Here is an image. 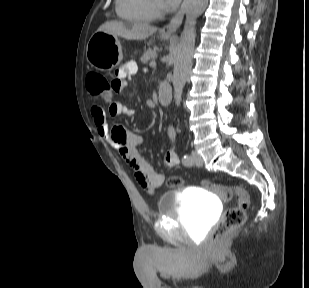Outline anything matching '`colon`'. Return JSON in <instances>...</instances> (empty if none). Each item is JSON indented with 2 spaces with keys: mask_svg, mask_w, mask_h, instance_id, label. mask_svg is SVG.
<instances>
[{
  "mask_svg": "<svg viewBox=\"0 0 309 288\" xmlns=\"http://www.w3.org/2000/svg\"><path fill=\"white\" fill-rule=\"evenodd\" d=\"M86 87L90 94L106 101L114 94L122 91L119 83H110L102 75L95 72L87 76ZM202 184L224 202L231 201L234 198L237 199V205L228 208L224 212L211 233V239L217 241L244 224L246 218L245 209L249 205L250 196L247 190L240 185L223 186L209 181H204ZM166 185L171 188H179L183 185V181L178 176H172L167 179Z\"/></svg>",
  "mask_w": 309,
  "mask_h": 288,
  "instance_id": "colon-1",
  "label": "colon"
}]
</instances>
